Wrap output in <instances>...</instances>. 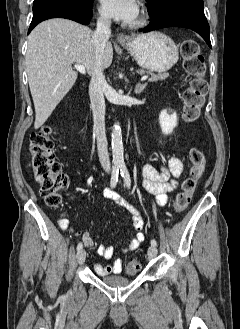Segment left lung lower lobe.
Listing matches in <instances>:
<instances>
[{"label": "left lung lower lobe", "instance_id": "obj_1", "mask_svg": "<svg viewBox=\"0 0 240 329\" xmlns=\"http://www.w3.org/2000/svg\"><path fill=\"white\" fill-rule=\"evenodd\" d=\"M165 27H185L196 31L206 41L209 47L210 28L204 14L203 5L195 3H176L159 13L150 24L141 29L150 32Z\"/></svg>", "mask_w": 240, "mask_h": 329}]
</instances>
